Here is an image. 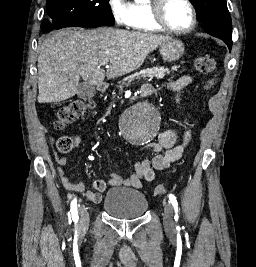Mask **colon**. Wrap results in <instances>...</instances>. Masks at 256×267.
Returning <instances> with one entry per match:
<instances>
[{"label":"colon","mask_w":256,"mask_h":267,"mask_svg":"<svg viewBox=\"0 0 256 267\" xmlns=\"http://www.w3.org/2000/svg\"><path fill=\"white\" fill-rule=\"evenodd\" d=\"M198 71L207 76L204 89L209 91L213 89L216 80V64L212 57L203 56L196 60ZM92 109V103L89 100L78 99L61 107L56 114V119L53 122L56 131H64L67 126L75 119L86 116ZM57 146L62 153L69 152L73 147V141L70 137H61L57 141ZM167 193V188L164 184L158 183L154 186V194L162 196Z\"/></svg>","instance_id":"1"}]
</instances>
